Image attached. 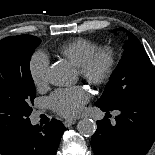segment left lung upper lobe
<instances>
[{
  "instance_id": "obj_1",
  "label": "left lung upper lobe",
  "mask_w": 155,
  "mask_h": 155,
  "mask_svg": "<svg viewBox=\"0 0 155 155\" xmlns=\"http://www.w3.org/2000/svg\"><path fill=\"white\" fill-rule=\"evenodd\" d=\"M128 40L123 46V56L112 74L102 97L95 103L112 109L129 98L155 93V70L136 36L124 28ZM118 29L112 32H117Z\"/></svg>"
}]
</instances>
